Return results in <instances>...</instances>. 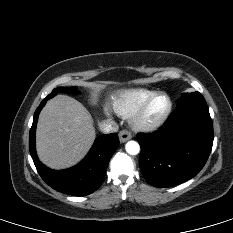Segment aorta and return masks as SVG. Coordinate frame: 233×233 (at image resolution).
<instances>
[{
  "instance_id": "762f6f07",
  "label": "aorta",
  "mask_w": 233,
  "mask_h": 233,
  "mask_svg": "<svg viewBox=\"0 0 233 233\" xmlns=\"http://www.w3.org/2000/svg\"><path fill=\"white\" fill-rule=\"evenodd\" d=\"M126 152L130 155H137L140 152V145L136 141H128L125 145Z\"/></svg>"
}]
</instances>
